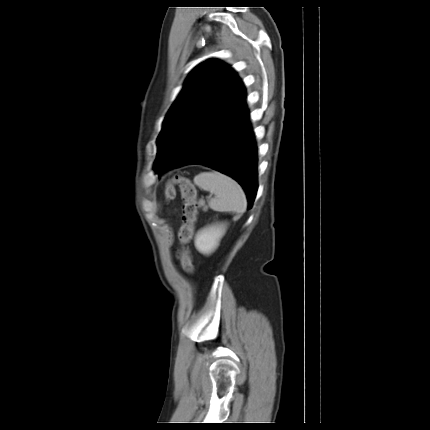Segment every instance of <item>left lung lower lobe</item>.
I'll return each mask as SVG.
<instances>
[{
  "label": "left lung lower lobe",
  "mask_w": 430,
  "mask_h": 430,
  "mask_svg": "<svg viewBox=\"0 0 430 430\" xmlns=\"http://www.w3.org/2000/svg\"><path fill=\"white\" fill-rule=\"evenodd\" d=\"M248 117L247 109L230 119L206 115L158 173L189 164L213 168L240 183L251 208L257 191V146Z\"/></svg>",
  "instance_id": "0a47b994"
}]
</instances>
